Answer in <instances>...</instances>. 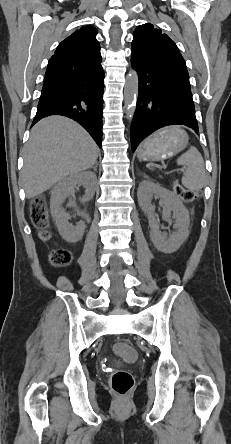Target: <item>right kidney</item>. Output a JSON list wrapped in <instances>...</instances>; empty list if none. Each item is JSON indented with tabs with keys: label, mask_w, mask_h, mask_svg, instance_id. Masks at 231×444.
<instances>
[{
	"label": "right kidney",
	"mask_w": 231,
	"mask_h": 444,
	"mask_svg": "<svg viewBox=\"0 0 231 444\" xmlns=\"http://www.w3.org/2000/svg\"><path fill=\"white\" fill-rule=\"evenodd\" d=\"M96 175L89 171H83L69 176L58 182L51 191L50 210L58 230L68 242H76L80 240L84 234L86 224L84 221H79L76 225L68 222L69 214L62 207V204L67 198L74 196L75 187L77 184L85 188L84 201H89L95 194ZM69 207H74L75 203L70 202Z\"/></svg>",
	"instance_id": "right-kidney-1"
}]
</instances>
